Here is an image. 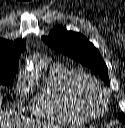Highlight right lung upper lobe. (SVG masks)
<instances>
[{
  "instance_id": "obj_1",
  "label": "right lung upper lobe",
  "mask_w": 125,
  "mask_h": 128,
  "mask_svg": "<svg viewBox=\"0 0 125 128\" xmlns=\"http://www.w3.org/2000/svg\"><path fill=\"white\" fill-rule=\"evenodd\" d=\"M25 47L26 42L23 39L8 41L0 38V67L18 70L19 56Z\"/></svg>"
}]
</instances>
